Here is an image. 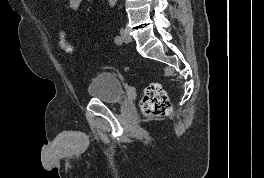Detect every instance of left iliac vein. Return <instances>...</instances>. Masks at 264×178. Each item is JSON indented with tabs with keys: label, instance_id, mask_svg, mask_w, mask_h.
Returning <instances> with one entry per match:
<instances>
[{
	"label": "left iliac vein",
	"instance_id": "obj_1",
	"mask_svg": "<svg viewBox=\"0 0 264 178\" xmlns=\"http://www.w3.org/2000/svg\"><path fill=\"white\" fill-rule=\"evenodd\" d=\"M120 34H121V39H122V42L124 43H129L131 42V37L130 35L128 34L127 30L126 29H121L120 30Z\"/></svg>",
	"mask_w": 264,
	"mask_h": 178
}]
</instances>
